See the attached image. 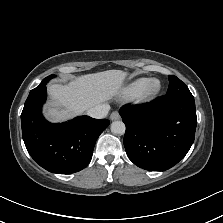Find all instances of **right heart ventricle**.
Listing matches in <instances>:
<instances>
[{
    "label": "right heart ventricle",
    "mask_w": 223,
    "mask_h": 223,
    "mask_svg": "<svg viewBox=\"0 0 223 223\" xmlns=\"http://www.w3.org/2000/svg\"><path fill=\"white\" fill-rule=\"evenodd\" d=\"M143 81H144L143 78H138L131 81L122 89V92H121L122 96L126 99L132 98L140 89Z\"/></svg>",
    "instance_id": "e07e8e85"
}]
</instances>
